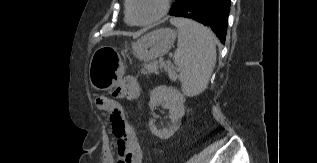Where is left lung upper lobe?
<instances>
[{
	"label": "left lung upper lobe",
	"mask_w": 317,
	"mask_h": 163,
	"mask_svg": "<svg viewBox=\"0 0 317 163\" xmlns=\"http://www.w3.org/2000/svg\"><path fill=\"white\" fill-rule=\"evenodd\" d=\"M179 1H180V0H175V2H174L173 5H172L171 10H174V9L178 6Z\"/></svg>",
	"instance_id": "obj_1"
}]
</instances>
